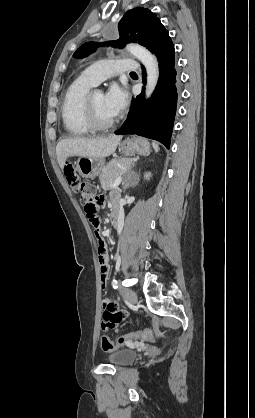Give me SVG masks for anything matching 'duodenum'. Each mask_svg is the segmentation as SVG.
I'll list each match as a JSON object with an SVG mask.
<instances>
[{"label":"duodenum","instance_id":"410a0bca","mask_svg":"<svg viewBox=\"0 0 255 418\" xmlns=\"http://www.w3.org/2000/svg\"><path fill=\"white\" fill-rule=\"evenodd\" d=\"M110 223L116 229L120 227V210L117 205H113L111 209Z\"/></svg>","mask_w":255,"mask_h":418}]
</instances>
